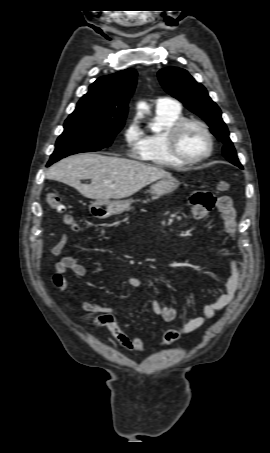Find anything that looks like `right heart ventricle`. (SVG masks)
I'll return each instance as SVG.
<instances>
[{
  "label": "right heart ventricle",
  "mask_w": 270,
  "mask_h": 453,
  "mask_svg": "<svg viewBox=\"0 0 270 453\" xmlns=\"http://www.w3.org/2000/svg\"><path fill=\"white\" fill-rule=\"evenodd\" d=\"M182 118L180 107L156 110L152 128L143 134L138 158L161 167L179 168L184 166L185 164L176 161L170 155L166 145V135L169 129Z\"/></svg>",
  "instance_id": "right-heart-ventricle-1"
}]
</instances>
